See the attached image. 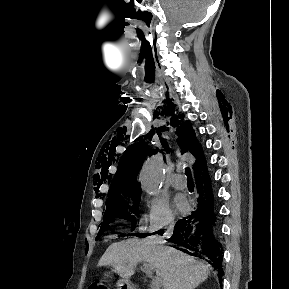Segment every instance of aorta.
I'll use <instances>...</instances> for the list:
<instances>
[{
    "mask_svg": "<svg viewBox=\"0 0 289 289\" xmlns=\"http://www.w3.org/2000/svg\"><path fill=\"white\" fill-rule=\"evenodd\" d=\"M163 171L164 162L160 154L147 159L139 176L142 190L150 194L158 192L162 186Z\"/></svg>",
    "mask_w": 289,
    "mask_h": 289,
    "instance_id": "1",
    "label": "aorta"
}]
</instances>
